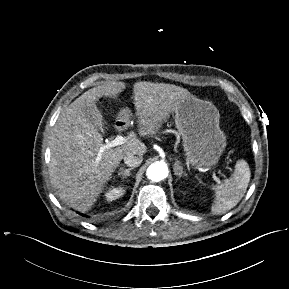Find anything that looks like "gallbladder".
Returning <instances> with one entry per match:
<instances>
[{"label":"gallbladder","instance_id":"obj_1","mask_svg":"<svg viewBox=\"0 0 289 289\" xmlns=\"http://www.w3.org/2000/svg\"><path fill=\"white\" fill-rule=\"evenodd\" d=\"M87 110H88V113L86 114V117L89 116V121L92 123H95L98 117L100 116L102 117L101 112L97 108L95 109L96 111H94V108H87Z\"/></svg>","mask_w":289,"mask_h":289}]
</instances>
